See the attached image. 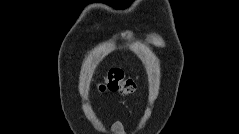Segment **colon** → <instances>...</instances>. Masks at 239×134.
I'll return each instance as SVG.
<instances>
[{"label": "colon", "instance_id": "5ec220e1", "mask_svg": "<svg viewBox=\"0 0 239 134\" xmlns=\"http://www.w3.org/2000/svg\"><path fill=\"white\" fill-rule=\"evenodd\" d=\"M98 89L101 92L112 91L130 95L135 91L136 86L132 79L124 76L121 70L113 69L99 82Z\"/></svg>", "mask_w": 239, "mask_h": 134}]
</instances>
